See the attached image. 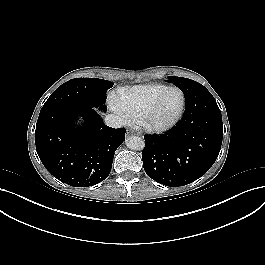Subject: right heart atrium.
<instances>
[{
  "label": "right heart atrium",
  "mask_w": 265,
  "mask_h": 265,
  "mask_svg": "<svg viewBox=\"0 0 265 265\" xmlns=\"http://www.w3.org/2000/svg\"><path fill=\"white\" fill-rule=\"evenodd\" d=\"M109 104H110L111 109L117 112L122 118L126 119L128 117L126 113L123 111V109L119 106L116 95L110 96Z\"/></svg>",
  "instance_id": "d8ad5b80"
}]
</instances>
